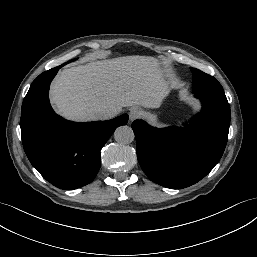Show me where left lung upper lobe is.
Here are the masks:
<instances>
[{
	"mask_svg": "<svg viewBox=\"0 0 257 257\" xmlns=\"http://www.w3.org/2000/svg\"><path fill=\"white\" fill-rule=\"evenodd\" d=\"M193 73V92L194 93H213L221 94L224 90L221 84L211 75H208L196 68L191 67Z\"/></svg>",
	"mask_w": 257,
	"mask_h": 257,
	"instance_id": "1",
	"label": "left lung upper lobe"
}]
</instances>
